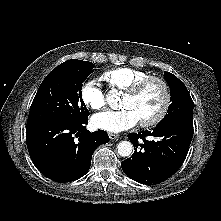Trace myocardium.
I'll list each match as a JSON object with an SVG mask.
<instances>
[{"instance_id": "f54148a6", "label": "myocardium", "mask_w": 221, "mask_h": 221, "mask_svg": "<svg viewBox=\"0 0 221 221\" xmlns=\"http://www.w3.org/2000/svg\"><path fill=\"white\" fill-rule=\"evenodd\" d=\"M152 82H157L162 86V89L164 92V100H163L160 110L152 118L140 121V125L142 127L155 126L164 119V117L166 116V114L169 110L170 104H171L170 86L167 83V81L161 77L148 76V77L138 81L130 89L125 91V95H127L129 97H137L144 90V88Z\"/></svg>"}]
</instances>
